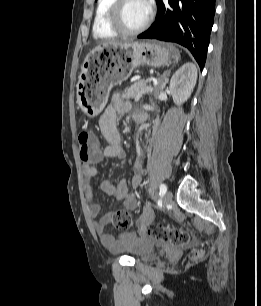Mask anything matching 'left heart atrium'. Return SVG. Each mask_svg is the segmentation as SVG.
I'll return each mask as SVG.
<instances>
[{
	"instance_id": "39dd6f15",
	"label": "left heart atrium",
	"mask_w": 261,
	"mask_h": 306,
	"mask_svg": "<svg viewBox=\"0 0 261 306\" xmlns=\"http://www.w3.org/2000/svg\"><path fill=\"white\" fill-rule=\"evenodd\" d=\"M146 6L149 8L150 7V0H143Z\"/></svg>"
}]
</instances>
